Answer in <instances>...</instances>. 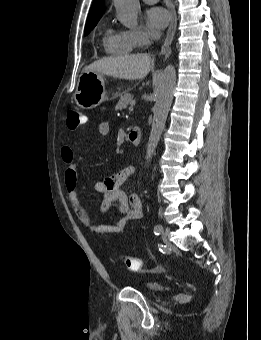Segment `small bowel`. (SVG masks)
<instances>
[{
  "label": "small bowel",
  "mask_w": 261,
  "mask_h": 340,
  "mask_svg": "<svg viewBox=\"0 0 261 340\" xmlns=\"http://www.w3.org/2000/svg\"><path fill=\"white\" fill-rule=\"evenodd\" d=\"M87 120V118H86ZM110 132L108 122H101L97 126V133L105 137ZM61 158L67 165L65 170V183L67 187L70 206L79 222L89 231L101 235L105 233H120L132 221L142 217V203L138 195H127L121 188L123 183L134 173L133 166H127L117 173L106 177L104 180L94 184L96 192L102 195V203L99 211L106 212L113 203H117L118 210L122 217L115 223L104 224L95 223L89 214L84 210L78 197L77 191V172L74 163V154L70 146H63Z\"/></svg>",
  "instance_id": "small-bowel-1"
}]
</instances>
